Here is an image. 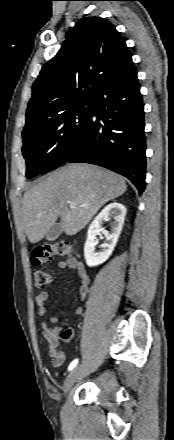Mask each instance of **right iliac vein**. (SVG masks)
<instances>
[{
	"label": "right iliac vein",
	"mask_w": 174,
	"mask_h": 440,
	"mask_svg": "<svg viewBox=\"0 0 174 440\" xmlns=\"http://www.w3.org/2000/svg\"><path fill=\"white\" fill-rule=\"evenodd\" d=\"M79 370H80V366L75 367L66 377L65 382H64V386H63V391L66 393L68 392L71 387L73 386L78 374H79Z\"/></svg>",
	"instance_id": "63e3f726"
}]
</instances>
